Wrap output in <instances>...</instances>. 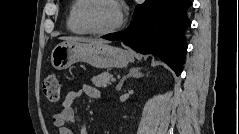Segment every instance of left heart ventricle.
Listing matches in <instances>:
<instances>
[{"instance_id":"obj_1","label":"left heart ventricle","mask_w":239,"mask_h":134,"mask_svg":"<svg viewBox=\"0 0 239 134\" xmlns=\"http://www.w3.org/2000/svg\"><path fill=\"white\" fill-rule=\"evenodd\" d=\"M87 16L94 28L107 29L118 21L119 10L111 1L99 0L89 8Z\"/></svg>"}]
</instances>
